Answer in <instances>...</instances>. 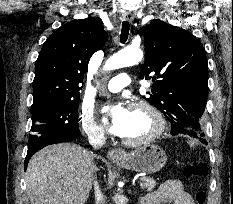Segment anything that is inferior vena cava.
<instances>
[{"mask_svg": "<svg viewBox=\"0 0 233 204\" xmlns=\"http://www.w3.org/2000/svg\"><path fill=\"white\" fill-rule=\"evenodd\" d=\"M89 142L95 149L101 148L105 144V138L103 136V133H94V134H92L89 137ZM92 170L96 171L97 167L93 166ZM94 189H95V192H96V195H97V204H104L103 203V201H104L103 195H102V193L100 191L97 180H94Z\"/></svg>", "mask_w": 233, "mask_h": 204, "instance_id": "obj_1", "label": "inferior vena cava"}]
</instances>
